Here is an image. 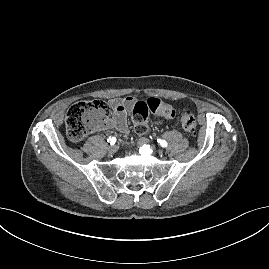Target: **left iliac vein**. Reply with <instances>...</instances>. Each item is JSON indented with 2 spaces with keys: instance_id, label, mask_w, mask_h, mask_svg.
Returning a JSON list of instances; mask_svg holds the SVG:
<instances>
[{
  "instance_id": "1",
  "label": "left iliac vein",
  "mask_w": 269,
  "mask_h": 269,
  "mask_svg": "<svg viewBox=\"0 0 269 269\" xmlns=\"http://www.w3.org/2000/svg\"><path fill=\"white\" fill-rule=\"evenodd\" d=\"M144 144H149V140L146 139V138H140V139L138 140V145H139V146H142V145H144Z\"/></svg>"
}]
</instances>
